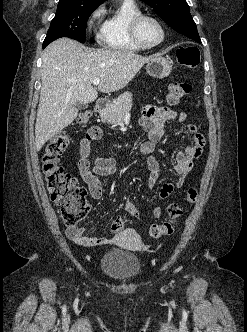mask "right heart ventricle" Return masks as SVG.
<instances>
[{"label": "right heart ventricle", "mask_w": 247, "mask_h": 332, "mask_svg": "<svg viewBox=\"0 0 247 332\" xmlns=\"http://www.w3.org/2000/svg\"><path fill=\"white\" fill-rule=\"evenodd\" d=\"M141 13V8L134 0H121L103 24L100 35L102 44L119 51L135 52L141 50L130 35L132 20Z\"/></svg>", "instance_id": "obj_1"}]
</instances>
